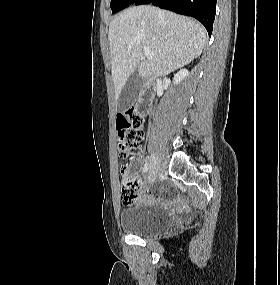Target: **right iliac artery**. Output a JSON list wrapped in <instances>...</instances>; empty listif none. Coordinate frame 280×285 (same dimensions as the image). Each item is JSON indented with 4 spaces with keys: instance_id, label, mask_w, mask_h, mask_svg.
<instances>
[{
    "instance_id": "82829eb1",
    "label": "right iliac artery",
    "mask_w": 280,
    "mask_h": 285,
    "mask_svg": "<svg viewBox=\"0 0 280 285\" xmlns=\"http://www.w3.org/2000/svg\"><path fill=\"white\" fill-rule=\"evenodd\" d=\"M149 167H148V163L146 162L144 164V167H143V172L146 173L148 171Z\"/></svg>"
}]
</instances>
